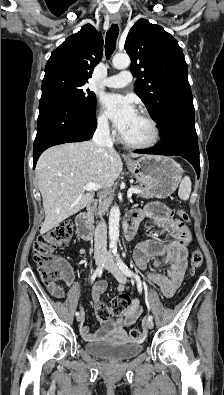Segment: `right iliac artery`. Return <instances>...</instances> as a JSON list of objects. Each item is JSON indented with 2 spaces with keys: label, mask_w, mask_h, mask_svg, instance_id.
<instances>
[{
  "label": "right iliac artery",
  "mask_w": 224,
  "mask_h": 395,
  "mask_svg": "<svg viewBox=\"0 0 224 395\" xmlns=\"http://www.w3.org/2000/svg\"><path fill=\"white\" fill-rule=\"evenodd\" d=\"M102 270H103V264H102V266L97 268L96 271L94 272V274L91 276V283H93L95 281V279L102 274ZM75 314H76V316H79V312H76Z\"/></svg>",
  "instance_id": "right-iliac-artery-1"
}]
</instances>
